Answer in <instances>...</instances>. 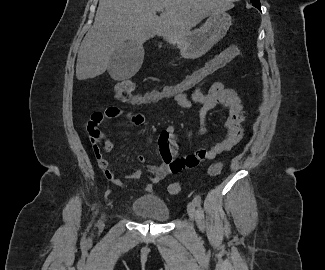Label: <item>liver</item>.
<instances>
[{
	"label": "liver",
	"instance_id": "obj_1",
	"mask_svg": "<svg viewBox=\"0 0 325 270\" xmlns=\"http://www.w3.org/2000/svg\"><path fill=\"white\" fill-rule=\"evenodd\" d=\"M232 7L230 0H99L94 24L78 52L76 77L103 74L113 53L128 40L142 45L156 35L186 37L207 16ZM158 8L163 9L160 16Z\"/></svg>",
	"mask_w": 325,
	"mask_h": 270
}]
</instances>
